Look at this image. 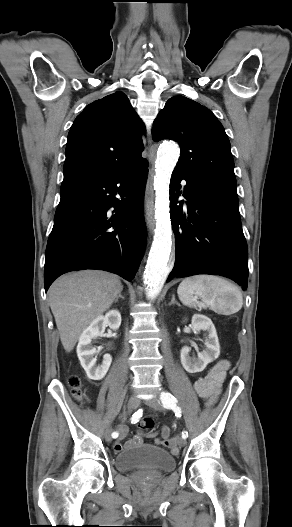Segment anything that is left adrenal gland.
Segmentation results:
<instances>
[{
    "label": "left adrenal gland",
    "instance_id": "left-adrenal-gland-1",
    "mask_svg": "<svg viewBox=\"0 0 292 527\" xmlns=\"http://www.w3.org/2000/svg\"><path fill=\"white\" fill-rule=\"evenodd\" d=\"M173 304H176V305L180 306V304L175 300V295L174 294L172 295V299H171V302L169 303V305H173Z\"/></svg>",
    "mask_w": 292,
    "mask_h": 527
}]
</instances>
